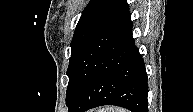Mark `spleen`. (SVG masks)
Wrapping results in <instances>:
<instances>
[{
	"label": "spleen",
	"mask_w": 193,
	"mask_h": 112,
	"mask_svg": "<svg viewBox=\"0 0 193 112\" xmlns=\"http://www.w3.org/2000/svg\"><path fill=\"white\" fill-rule=\"evenodd\" d=\"M100 112H109V111L105 110V109H102V110H100ZM112 112H114V110ZM115 112H124V110L123 109H117V110H115Z\"/></svg>",
	"instance_id": "3e777b00"
}]
</instances>
